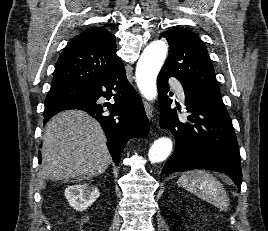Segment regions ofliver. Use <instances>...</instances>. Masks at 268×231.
I'll return each instance as SVG.
<instances>
[{
	"label": "liver",
	"mask_w": 268,
	"mask_h": 231,
	"mask_svg": "<svg viewBox=\"0 0 268 231\" xmlns=\"http://www.w3.org/2000/svg\"><path fill=\"white\" fill-rule=\"evenodd\" d=\"M42 140L43 179L92 178L112 161L100 124L84 111L66 110L52 117Z\"/></svg>",
	"instance_id": "liver-1"
}]
</instances>
